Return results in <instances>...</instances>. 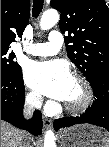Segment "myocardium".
Returning a JSON list of instances; mask_svg holds the SVG:
<instances>
[{
	"label": "myocardium",
	"mask_w": 109,
	"mask_h": 147,
	"mask_svg": "<svg viewBox=\"0 0 109 147\" xmlns=\"http://www.w3.org/2000/svg\"><path fill=\"white\" fill-rule=\"evenodd\" d=\"M72 78H74L75 80L81 83V85L85 90V97L84 100L77 105H71L69 103H65L64 108L65 110L71 113H80L85 111L92 104L94 99V91L90 82L87 80V78L84 75L80 73H74Z\"/></svg>",
	"instance_id": "obj_1"
}]
</instances>
